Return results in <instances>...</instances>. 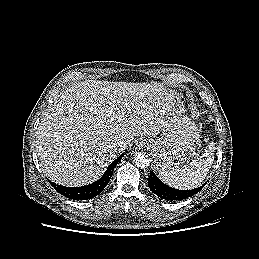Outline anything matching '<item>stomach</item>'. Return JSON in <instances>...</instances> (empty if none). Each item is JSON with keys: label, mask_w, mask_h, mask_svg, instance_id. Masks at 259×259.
<instances>
[{"label": "stomach", "mask_w": 259, "mask_h": 259, "mask_svg": "<svg viewBox=\"0 0 259 259\" xmlns=\"http://www.w3.org/2000/svg\"><path fill=\"white\" fill-rule=\"evenodd\" d=\"M165 124L161 138L152 139L149 149L157 171H171L190 158L200 142V133L186 114L183 102L173 91H167Z\"/></svg>", "instance_id": "stomach-1"}]
</instances>
